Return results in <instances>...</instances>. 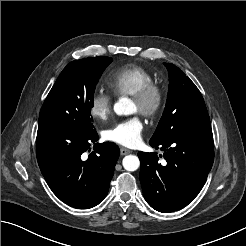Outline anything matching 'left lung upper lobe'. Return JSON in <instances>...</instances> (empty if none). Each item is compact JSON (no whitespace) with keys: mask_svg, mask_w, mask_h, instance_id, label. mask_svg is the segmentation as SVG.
<instances>
[{"mask_svg":"<svg viewBox=\"0 0 246 246\" xmlns=\"http://www.w3.org/2000/svg\"><path fill=\"white\" fill-rule=\"evenodd\" d=\"M169 73L166 106L150 142L158 143L177 131L210 127L203 97L195 84L175 65L164 63Z\"/></svg>","mask_w":246,"mask_h":246,"instance_id":"obj_1","label":"left lung upper lobe"}]
</instances>
